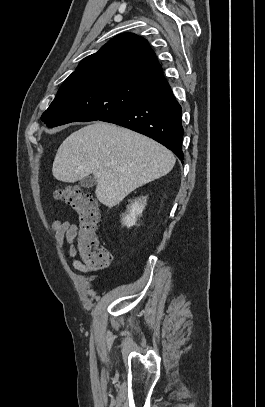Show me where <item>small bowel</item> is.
Returning a JSON list of instances; mask_svg holds the SVG:
<instances>
[{
    "mask_svg": "<svg viewBox=\"0 0 265 407\" xmlns=\"http://www.w3.org/2000/svg\"><path fill=\"white\" fill-rule=\"evenodd\" d=\"M52 229L55 233V237L57 242L63 252L70 258H72V265L73 267L81 272L88 273L89 270L83 266L75 257L76 252L73 247L74 240L77 236V226L75 224H71L67 221H59L55 220L52 223Z\"/></svg>",
    "mask_w": 265,
    "mask_h": 407,
    "instance_id": "c3829d8e",
    "label": "small bowel"
}]
</instances>
